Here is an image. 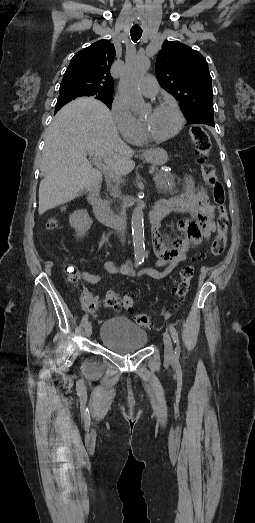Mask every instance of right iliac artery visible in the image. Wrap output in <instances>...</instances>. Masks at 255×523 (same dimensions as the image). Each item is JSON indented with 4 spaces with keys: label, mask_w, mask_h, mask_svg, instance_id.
Here are the masks:
<instances>
[{
    "label": "right iliac artery",
    "mask_w": 255,
    "mask_h": 523,
    "mask_svg": "<svg viewBox=\"0 0 255 523\" xmlns=\"http://www.w3.org/2000/svg\"><path fill=\"white\" fill-rule=\"evenodd\" d=\"M137 265H138V263H136V266H137ZM87 321H88V315L85 314V315L83 316V318H82V324H83V326L86 325Z\"/></svg>",
    "instance_id": "1"
}]
</instances>
